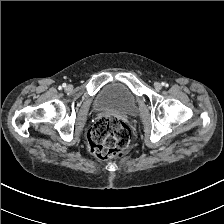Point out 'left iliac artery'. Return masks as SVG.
<instances>
[{
	"instance_id": "1",
	"label": "left iliac artery",
	"mask_w": 224,
	"mask_h": 224,
	"mask_svg": "<svg viewBox=\"0 0 224 224\" xmlns=\"http://www.w3.org/2000/svg\"><path fill=\"white\" fill-rule=\"evenodd\" d=\"M162 85H163V86H165V87H167V86H168V84H167V83H164V82L162 83Z\"/></svg>"
}]
</instances>
